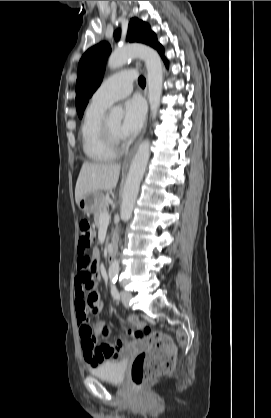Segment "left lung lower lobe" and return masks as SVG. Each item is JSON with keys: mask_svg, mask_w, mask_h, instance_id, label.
Returning <instances> with one entry per match:
<instances>
[{"mask_svg": "<svg viewBox=\"0 0 271 418\" xmlns=\"http://www.w3.org/2000/svg\"><path fill=\"white\" fill-rule=\"evenodd\" d=\"M157 50L160 53V55L162 56V58L164 59L165 63H167L166 59L164 58V50H163V47L160 46Z\"/></svg>", "mask_w": 271, "mask_h": 418, "instance_id": "0a47b994", "label": "left lung lower lobe"}]
</instances>
